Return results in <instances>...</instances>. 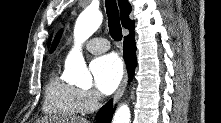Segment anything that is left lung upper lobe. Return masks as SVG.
<instances>
[{
    "label": "left lung upper lobe",
    "instance_id": "left-lung-upper-lobe-1",
    "mask_svg": "<svg viewBox=\"0 0 221 123\" xmlns=\"http://www.w3.org/2000/svg\"><path fill=\"white\" fill-rule=\"evenodd\" d=\"M61 34H62V30L59 31L53 41L52 47H51V52H53L55 50V48L57 47L59 40L61 38Z\"/></svg>",
    "mask_w": 221,
    "mask_h": 123
}]
</instances>
